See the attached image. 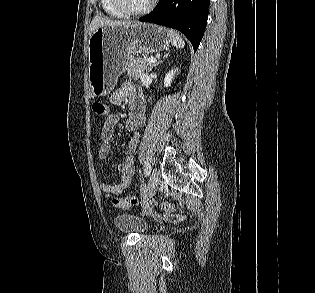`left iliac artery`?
I'll return each instance as SVG.
<instances>
[{
	"mask_svg": "<svg viewBox=\"0 0 315 293\" xmlns=\"http://www.w3.org/2000/svg\"><path fill=\"white\" fill-rule=\"evenodd\" d=\"M150 171H151V166H150L149 162H145L144 174L146 176H148L150 174Z\"/></svg>",
	"mask_w": 315,
	"mask_h": 293,
	"instance_id": "44dca946",
	"label": "left iliac artery"
}]
</instances>
